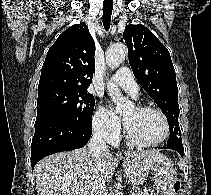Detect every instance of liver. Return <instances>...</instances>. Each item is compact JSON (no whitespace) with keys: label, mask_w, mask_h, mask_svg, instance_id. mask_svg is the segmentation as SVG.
<instances>
[{"label":"liver","mask_w":211,"mask_h":195,"mask_svg":"<svg viewBox=\"0 0 211 195\" xmlns=\"http://www.w3.org/2000/svg\"><path fill=\"white\" fill-rule=\"evenodd\" d=\"M164 157L159 151L125 152L124 169L127 176L134 168H146L149 161ZM116 158L107 150L101 153L100 176L112 178ZM95 162L87 147L58 152L39 161L35 168L38 195H90Z\"/></svg>","instance_id":"6515ba94"}]
</instances>
